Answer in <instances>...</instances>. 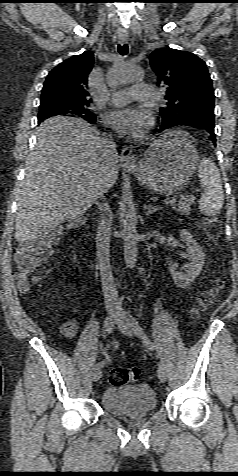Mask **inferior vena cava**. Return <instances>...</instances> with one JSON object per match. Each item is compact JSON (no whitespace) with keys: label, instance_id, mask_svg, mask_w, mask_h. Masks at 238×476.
I'll return each instance as SVG.
<instances>
[{"label":"inferior vena cava","instance_id":"inferior-vena-cava-1","mask_svg":"<svg viewBox=\"0 0 238 476\" xmlns=\"http://www.w3.org/2000/svg\"><path fill=\"white\" fill-rule=\"evenodd\" d=\"M103 153L107 159L106 175L97 191L95 199L96 205L100 209V218L98 220V229L96 235L97 257L101 274L102 289L106 307L121 311V303L118 298V292L111 272L109 252H110V220L102 212H109V206L105 203L101 205L98 198L104 199V194L109 190V174L111 167L118 162L116 144L107 138L102 139L101 144Z\"/></svg>","mask_w":238,"mask_h":476}]
</instances>
